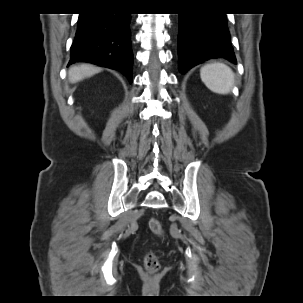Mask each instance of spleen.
Here are the masks:
<instances>
[{
	"label": "spleen",
	"instance_id": "3e777b00",
	"mask_svg": "<svg viewBox=\"0 0 303 303\" xmlns=\"http://www.w3.org/2000/svg\"><path fill=\"white\" fill-rule=\"evenodd\" d=\"M200 77L206 87L217 94H227L234 85V73L224 63H210L200 70Z\"/></svg>",
	"mask_w": 303,
	"mask_h": 303
}]
</instances>
